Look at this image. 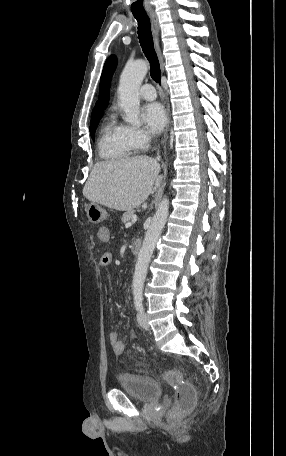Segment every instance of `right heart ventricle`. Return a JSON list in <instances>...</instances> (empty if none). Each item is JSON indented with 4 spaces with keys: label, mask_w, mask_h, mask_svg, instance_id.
Instances as JSON below:
<instances>
[{
    "label": "right heart ventricle",
    "mask_w": 286,
    "mask_h": 456,
    "mask_svg": "<svg viewBox=\"0 0 286 456\" xmlns=\"http://www.w3.org/2000/svg\"><path fill=\"white\" fill-rule=\"evenodd\" d=\"M135 149L125 126L117 124L114 120L104 125L98 142L101 158L111 161L123 160L130 157Z\"/></svg>",
    "instance_id": "obj_1"
}]
</instances>
